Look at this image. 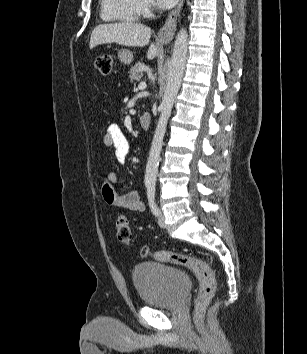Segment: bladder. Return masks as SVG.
Instances as JSON below:
<instances>
[{
  "instance_id": "31cf9c89",
  "label": "bladder",
  "mask_w": 307,
  "mask_h": 354,
  "mask_svg": "<svg viewBox=\"0 0 307 354\" xmlns=\"http://www.w3.org/2000/svg\"><path fill=\"white\" fill-rule=\"evenodd\" d=\"M132 280L144 303L164 308L181 304L191 286L185 271L156 261L137 264Z\"/></svg>"
}]
</instances>
